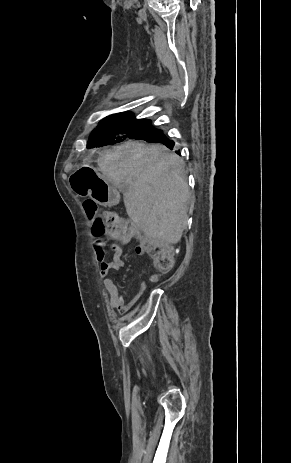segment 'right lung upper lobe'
I'll use <instances>...</instances> for the list:
<instances>
[{"instance_id":"right-lung-upper-lobe-1","label":"right lung upper lobe","mask_w":291,"mask_h":463,"mask_svg":"<svg viewBox=\"0 0 291 463\" xmlns=\"http://www.w3.org/2000/svg\"><path fill=\"white\" fill-rule=\"evenodd\" d=\"M114 115H123V116H132L133 117V115L130 114V113H119V114H114Z\"/></svg>"}]
</instances>
